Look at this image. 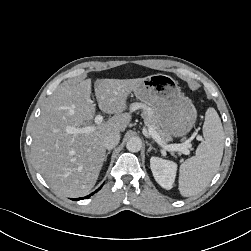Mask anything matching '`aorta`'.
Masks as SVG:
<instances>
[{
    "instance_id": "762f6f07",
    "label": "aorta",
    "mask_w": 251,
    "mask_h": 251,
    "mask_svg": "<svg viewBox=\"0 0 251 251\" xmlns=\"http://www.w3.org/2000/svg\"><path fill=\"white\" fill-rule=\"evenodd\" d=\"M142 147V141L139 137H131L126 144V148L130 152H138Z\"/></svg>"
}]
</instances>
